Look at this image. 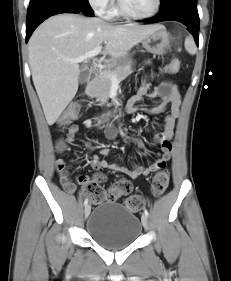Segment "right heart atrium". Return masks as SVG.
<instances>
[{
	"label": "right heart atrium",
	"mask_w": 231,
	"mask_h": 281,
	"mask_svg": "<svg viewBox=\"0 0 231 281\" xmlns=\"http://www.w3.org/2000/svg\"><path fill=\"white\" fill-rule=\"evenodd\" d=\"M90 6L98 13L105 14L112 6L113 0H87Z\"/></svg>",
	"instance_id": "right-heart-atrium-1"
}]
</instances>
